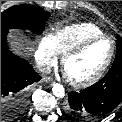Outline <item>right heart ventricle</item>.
I'll return each instance as SVG.
<instances>
[{"mask_svg": "<svg viewBox=\"0 0 122 122\" xmlns=\"http://www.w3.org/2000/svg\"><path fill=\"white\" fill-rule=\"evenodd\" d=\"M102 35V30L92 23H77L59 28L51 36L58 53L63 55L81 42Z\"/></svg>", "mask_w": 122, "mask_h": 122, "instance_id": "obj_1", "label": "right heart ventricle"}]
</instances>
